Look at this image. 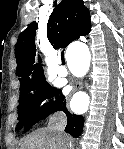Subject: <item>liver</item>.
<instances>
[{
	"label": "liver",
	"instance_id": "obj_1",
	"mask_svg": "<svg viewBox=\"0 0 124 149\" xmlns=\"http://www.w3.org/2000/svg\"><path fill=\"white\" fill-rule=\"evenodd\" d=\"M21 147L22 149H64L63 139L56 137L51 127L31 133L23 140Z\"/></svg>",
	"mask_w": 124,
	"mask_h": 149
}]
</instances>
